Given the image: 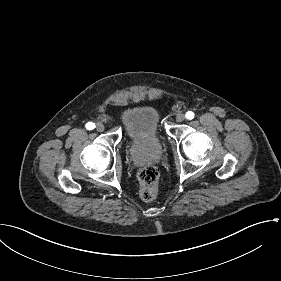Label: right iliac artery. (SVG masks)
<instances>
[{
  "mask_svg": "<svg viewBox=\"0 0 281 281\" xmlns=\"http://www.w3.org/2000/svg\"><path fill=\"white\" fill-rule=\"evenodd\" d=\"M94 127H95V125H94V123H92V122H89V123L86 124V128H87L88 130H92Z\"/></svg>",
  "mask_w": 281,
  "mask_h": 281,
  "instance_id": "right-iliac-artery-1",
  "label": "right iliac artery"
}]
</instances>
